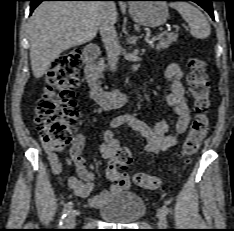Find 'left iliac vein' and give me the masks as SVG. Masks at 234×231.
<instances>
[{
  "label": "left iliac vein",
  "instance_id": "obj_1",
  "mask_svg": "<svg viewBox=\"0 0 234 231\" xmlns=\"http://www.w3.org/2000/svg\"><path fill=\"white\" fill-rule=\"evenodd\" d=\"M157 217H158V225H159V227L166 228L167 227L166 214L163 212L162 209H158V211H157Z\"/></svg>",
  "mask_w": 234,
  "mask_h": 231
}]
</instances>
